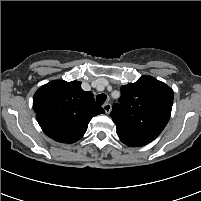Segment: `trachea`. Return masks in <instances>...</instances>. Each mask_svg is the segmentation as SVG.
<instances>
[{
    "mask_svg": "<svg viewBox=\"0 0 201 201\" xmlns=\"http://www.w3.org/2000/svg\"><path fill=\"white\" fill-rule=\"evenodd\" d=\"M106 99H107L106 94H99V95H97V97H96V101H97V103H98L99 105H103L104 102L106 101Z\"/></svg>",
    "mask_w": 201,
    "mask_h": 201,
    "instance_id": "trachea-1",
    "label": "trachea"
}]
</instances>
